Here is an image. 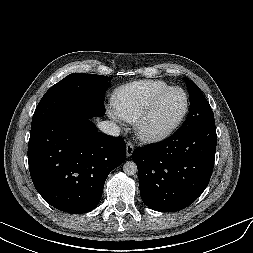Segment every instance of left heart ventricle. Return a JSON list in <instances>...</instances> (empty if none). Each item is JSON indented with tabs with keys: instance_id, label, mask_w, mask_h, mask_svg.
Segmentation results:
<instances>
[{
	"instance_id": "b2bd125f",
	"label": "left heart ventricle",
	"mask_w": 253,
	"mask_h": 253,
	"mask_svg": "<svg viewBox=\"0 0 253 253\" xmlns=\"http://www.w3.org/2000/svg\"><path fill=\"white\" fill-rule=\"evenodd\" d=\"M185 99L180 91H172L164 96L147 121L150 130H163L174 123L180 116Z\"/></svg>"
}]
</instances>
